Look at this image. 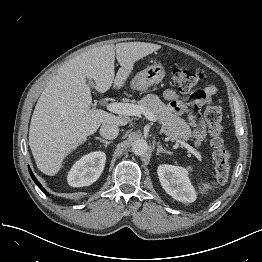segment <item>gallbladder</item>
Listing matches in <instances>:
<instances>
[{"label": "gallbladder", "instance_id": "1", "mask_svg": "<svg viewBox=\"0 0 262 262\" xmlns=\"http://www.w3.org/2000/svg\"><path fill=\"white\" fill-rule=\"evenodd\" d=\"M88 85H90L92 87L93 86V82L91 80H88Z\"/></svg>", "mask_w": 262, "mask_h": 262}]
</instances>
